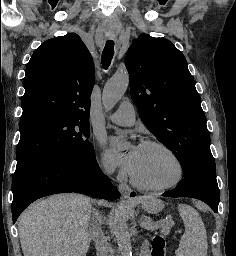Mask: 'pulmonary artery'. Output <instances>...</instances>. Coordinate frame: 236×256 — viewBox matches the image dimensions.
Masks as SVG:
<instances>
[{
	"label": "pulmonary artery",
	"instance_id": "e3ab8cb5",
	"mask_svg": "<svg viewBox=\"0 0 236 256\" xmlns=\"http://www.w3.org/2000/svg\"><path fill=\"white\" fill-rule=\"evenodd\" d=\"M121 107L109 116V120L117 125L128 126L135 122V111L130 101H121ZM130 109V110H128Z\"/></svg>",
	"mask_w": 236,
	"mask_h": 256
}]
</instances>
